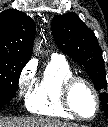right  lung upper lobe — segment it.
<instances>
[{
	"label": "right lung upper lobe",
	"instance_id": "obj_1",
	"mask_svg": "<svg viewBox=\"0 0 108 127\" xmlns=\"http://www.w3.org/2000/svg\"><path fill=\"white\" fill-rule=\"evenodd\" d=\"M35 38V23L25 13L8 9L0 14V55L29 61Z\"/></svg>",
	"mask_w": 108,
	"mask_h": 127
}]
</instances>
